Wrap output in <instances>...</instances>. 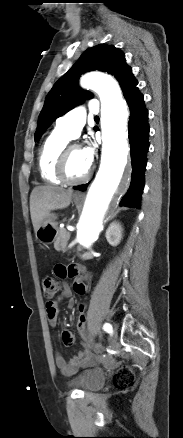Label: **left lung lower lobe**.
Returning a JSON list of instances; mask_svg holds the SVG:
<instances>
[{"label": "left lung lower lobe", "mask_w": 183, "mask_h": 438, "mask_svg": "<svg viewBox=\"0 0 183 438\" xmlns=\"http://www.w3.org/2000/svg\"><path fill=\"white\" fill-rule=\"evenodd\" d=\"M137 84V80L133 78L123 89L124 97L130 108L128 130L133 171L130 188L120 203V206L134 208H140L139 202L144 188V171L147 164L146 154L149 148L148 111L143 95L136 87ZM87 186L88 184H83L73 188L85 191Z\"/></svg>", "instance_id": "obj_1"}]
</instances>
